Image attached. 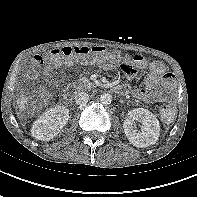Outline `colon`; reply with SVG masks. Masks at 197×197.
Masks as SVG:
<instances>
[{
  "label": "colon",
  "mask_w": 197,
  "mask_h": 197,
  "mask_svg": "<svg viewBox=\"0 0 197 197\" xmlns=\"http://www.w3.org/2000/svg\"><path fill=\"white\" fill-rule=\"evenodd\" d=\"M35 60L37 64L43 62L42 57H37ZM47 60L52 63H59L61 61L70 63L74 60L80 62L91 61L95 63H102V62L117 63L120 61V55L118 52L108 50L102 46H95V47L67 46L63 48L52 49L49 52ZM133 63L136 66H140L143 63V58L140 56H136L133 58ZM161 117L166 122L172 121L175 117V109L171 105L163 106L161 108Z\"/></svg>",
  "instance_id": "colon-1"
}]
</instances>
